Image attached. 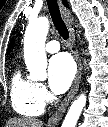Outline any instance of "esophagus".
Here are the masks:
<instances>
[{
  "label": "esophagus",
  "mask_w": 108,
  "mask_h": 127,
  "mask_svg": "<svg viewBox=\"0 0 108 127\" xmlns=\"http://www.w3.org/2000/svg\"><path fill=\"white\" fill-rule=\"evenodd\" d=\"M58 2H59L62 18H63L65 24L67 25V28L69 31L70 41H71V43H73L74 39H75V35H74V32H73L71 25H70V20H69V15H68L67 9L63 5L62 0H58ZM74 56H75L76 63H77L76 76L74 78L71 89L68 92L67 96L61 102L57 111L50 117V119L48 121V125L50 127H55L56 125L59 124L67 107L69 106L70 102L72 101V99L74 98L75 94L78 91L80 81H81V74H82V62H81V58H80L79 54L76 51H74Z\"/></svg>",
  "instance_id": "obj_1"
}]
</instances>
